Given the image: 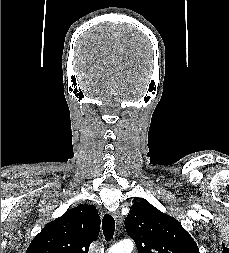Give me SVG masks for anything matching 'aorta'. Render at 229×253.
<instances>
[{"mask_svg": "<svg viewBox=\"0 0 229 253\" xmlns=\"http://www.w3.org/2000/svg\"><path fill=\"white\" fill-rule=\"evenodd\" d=\"M134 248V244L131 240L126 239L115 245H113L108 253H131Z\"/></svg>", "mask_w": 229, "mask_h": 253, "instance_id": "762f6f07", "label": "aorta"}]
</instances>
